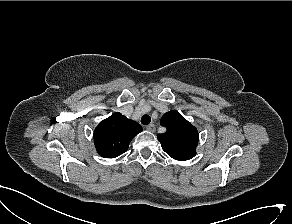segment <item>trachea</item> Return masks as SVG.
<instances>
[{"mask_svg":"<svg viewBox=\"0 0 292 224\" xmlns=\"http://www.w3.org/2000/svg\"><path fill=\"white\" fill-rule=\"evenodd\" d=\"M151 122V117L149 115H144L141 118V123L143 125H148Z\"/></svg>","mask_w":292,"mask_h":224,"instance_id":"trachea-1","label":"trachea"}]
</instances>
